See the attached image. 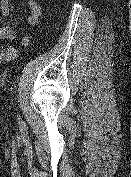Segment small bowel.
<instances>
[{
    "label": "small bowel",
    "mask_w": 131,
    "mask_h": 177,
    "mask_svg": "<svg viewBox=\"0 0 131 177\" xmlns=\"http://www.w3.org/2000/svg\"><path fill=\"white\" fill-rule=\"evenodd\" d=\"M27 5L30 13L27 16V23L30 26H36L39 22L42 10L37 0H27ZM0 11L3 16H8L10 13V0H0ZM17 32L14 28L9 26L0 27V41L1 40H15ZM28 41V37L23 39ZM18 57V52L12 47L0 48V63L3 61H11Z\"/></svg>",
    "instance_id": "small-bowel-1"
}]
</instances>
